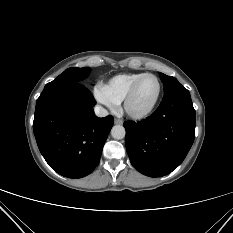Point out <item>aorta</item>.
<instances>
[{"instance_id":"1","label":"aorta","mask_w":233,"mask_h":233,"mask_svg":"<svg viewBox=\"0 0 233 233\" xmlns=\"http://www.w3.org/2000/svg\"><path fill=\"white\" fill-rule=\"evenodd\" d=\"M111 135L114 139H123L126 135L125 128L122 125H115L111 130Z\"/></svg>"}]
</instances>
